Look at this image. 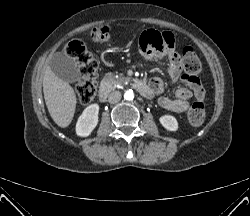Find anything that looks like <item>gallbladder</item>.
Segmentation results:
<instances>
[{
  "instance_id": "gallbladder-1",
  "label": "gallbladder",
  "mask_w": 250,
  "mask_h": 216,
  "mask_svg": "<svg viewBox=\"0 0 250 216\" xmlns=\"http://www.w3.org/2000/svg\"><path fill=\"white\" fill-rule=\"evenodd\" d=\"M49 66L53 73L63 81L73 83L79 79L78 68L66 53H55L49 61Z\"/></svg>"
}]
</instances>
